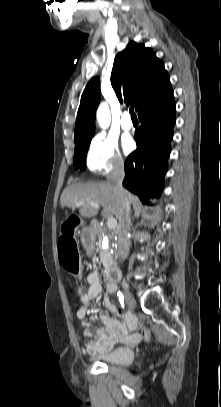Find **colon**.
Here are the masks:
<instances>
[{
  "mask_svg": "<svg viewBox=\"0 0 221 407\" xmlns=\"http://www.w3.org/2000/svg\"><path fill=\"white\" fill-rule=\"evenodd\" d=\"M63 222L65 225L60 239V262L62 266L77 279L79 273V258L74 239L79 238L78 228L81 227L82 224L79 221L75 222L73 216H65ZM143 337L146 341L150 340L148 330L143 331Z\"/></svg>",
  "mask_w": 221,
  "mask_h": 407,
  "instance_id": "5ec220e1",
  "label": "colon"
}]
</instances>
